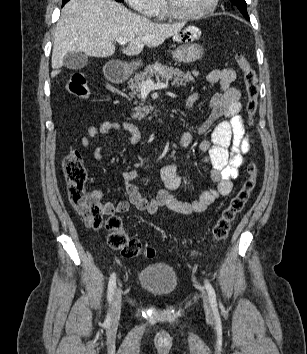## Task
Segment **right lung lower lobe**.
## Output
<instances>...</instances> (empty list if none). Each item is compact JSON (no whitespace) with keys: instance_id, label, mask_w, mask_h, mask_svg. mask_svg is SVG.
Returning a JSON list of instances; mask_svg holds the SVG:
<instances>
[{"instance_id":"98d812e1","label":"right lung lower lobe","mask_w":307,"mask_h":354,"mask_svg":"<svg viewBox=\"0 0 307 354\" xmlns=\"http://www.w3.org/2000/svg\"><path fill=\"white\" fill-rule=\"evenodd\" d=\"M69 0H63V2H62V6L65 4V3H67Z\"/></svg>"}]
</instances>
